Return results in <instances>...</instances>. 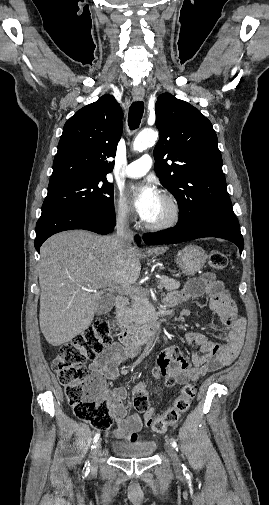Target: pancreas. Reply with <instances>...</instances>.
Returning a JSON list of instances; mask_svg holds the SVG:
<instances>
[{
	"label": "pancreas",
	"mask_w": 269,
	"mask_h": 505,
	"mask_svg": "<svg viewBox=\"0 0 269 505\" xmlns=\"http://www.w3.org/2000/svg\"><path fill=\"white\" fill-rule=\"evenodd\" d=\"M158 288L166 291H173L180 287V282L167 276H163L158 281ZM130 304L121 312L120 318L125 324L141 325L147 320L149 309L148 293L145 289L136 288L129 294Z\"/></svg>",
	"instance_id": "obj_1"
}]
</instances>
